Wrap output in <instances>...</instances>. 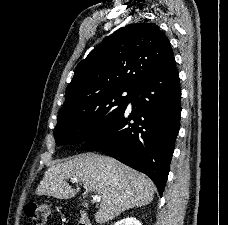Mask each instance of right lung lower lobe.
<instances>
[{"label":"right lung lower lobe","mask_w":228,"mask_h":225,"mask_svg":"<svg viewBox=\"0 0 228 225\" xmlns=\"http://www.w3.org/2000/svg\"><path fill=\"white\" fill-rule=\"evenodd\" d=\"M180 100L173 57L134 89L125 107L84 141L81 150L108 153L145 173L162 196L180 127Z\"/></svg>","instance_id":"obj_1"}]
</instances>
